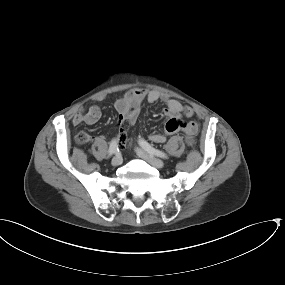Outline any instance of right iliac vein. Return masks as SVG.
<instances>
[{
  "instance_id": "1",
  "label": "right iliac vein",
  "mask_w": 285,
  "mask_h": 285,
  "mask_svg": "<svg viewBox=\"0 0 285 285\" xmlns=\"http://www.w3.org/2000/svg\"><path fill=\"white\" fill-rule=\"evenodd\" d=\"M122 163V158L120 156L113 157L111 164L113 166H119Z\"/></svg>"
}]
</instances>
